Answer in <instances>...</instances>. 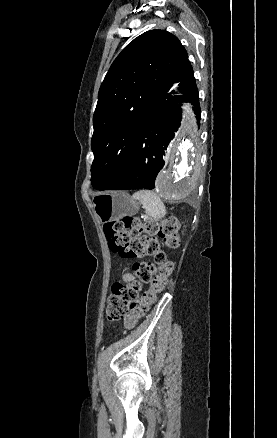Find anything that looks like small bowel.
<instances>
[{
    "mask_svg": "<svg viewBox=\"0 0 277 438\" xmlns=\"http://www.w3.org/2000/svg\"><path fill=\"white\" fill-rule=\"evenodd\" d=\"M122 278L125 282H133L134 281V277L129 272H124Z\"/></svg>",
    "mask_w": 277,
    "mask_h": 438,
    "instance_id": "1",
    "label": "small bowel"
}]
</instances>
